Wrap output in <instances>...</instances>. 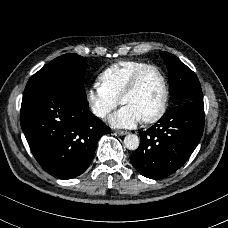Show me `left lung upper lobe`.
I'll use <instances>...</instances> for the list:
<instances>
[{"label": "left lung upper lobe", "instance_id": "obj_1", "mask_svg": "<svg viewBox=\"0 0 228 228\" xmlns=\"http://www.w3.org/2000/svg\"><path fill=\"white\" fill-rule=\"evenodd\" d=\"M169 72L170 97L180 103H203V94L196 74L176 56L161 52Z\"/></svg>", "mask_w": 228, "mask_h": 228}]
</instances>
